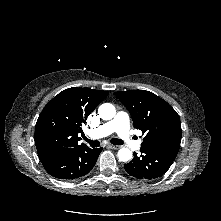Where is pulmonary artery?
Here are the masks:
<instances>
[{
	"instance_id": "obj_1",
	"label": "pulmonary artery",
	"mask_w": 221,
	"mask_h": 221,
	"mask_svg": "<svg viewBox=\"0 0 221 221\" xmlns=\"http://www.w3.org/2000/svg\"><path fill=\"white\" fill-rule=\"evenodd\" d=\"M116 132L120 139L129 147L134 149L140 148V142L135 141L129 130V116L125 112H119L114 119L104 123L103 125L91 129L87 135L93 139L106 137Z\"/></svg>"
}]
</instances>
